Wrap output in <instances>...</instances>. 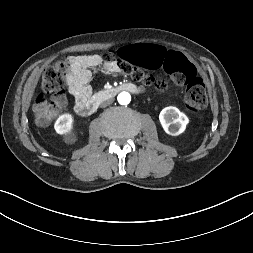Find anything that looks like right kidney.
Returning a JSON list of instances; mask_svg holds the SVG:
<instances>
[{"label":"right kidney","mask_w":253,"mask_h":253,"mask_svg":"<svg viewBox=\"0 0 253 253\" xmlns=\"http://www.w3.org/2000/svg\"><path fill=\"white\" fill-rule=\"evenodd\" d=\"M74 118L71 114H63L58 117L55 122L54 128L60 135H64L66 139L72 141V129H73Z\"/></svg>","instance_id":"ca27d5eb"}]
</instances>
